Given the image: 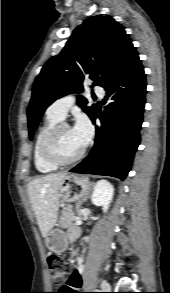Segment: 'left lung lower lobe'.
<instances>
[{
    "label": "left lung lower lobe",
    "instance_id": "1",
    "mask_svg": "<svg viewBox=\"0 0 170 293\" xmlns=\"http://www.w3.org/2000/svg\"><path fill=\"white\" fill-rule=\"evenodd\" d=\"M146 75L135 47H131L103 84L106 100H112L100 114L90 154L71 172L108 175L124 179L140 143V128L146 94Z\"/></svg>",
    "mask_w": 170,
    "mask_h": 293
}]
</instances>
